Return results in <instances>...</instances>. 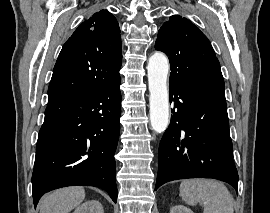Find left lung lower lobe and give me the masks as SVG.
Segmentation results:
<instances>
[{"label": "left lung lower lobe", "instance_id": "obj_1", "mask_svg": "<svg viewBox=\"0 0 270 213\" xmlns=\"http://www.w3.org/2000/svg\"><path fill=\"white\" fill-rule=\"evenodd\" d=\"M169 97L176 111L160 142L155 190L172 180L214 178L237 191L226 100L176 85Z\"/></svg>", "mask_w": 270, "mask_h": 213}]
</instances>
